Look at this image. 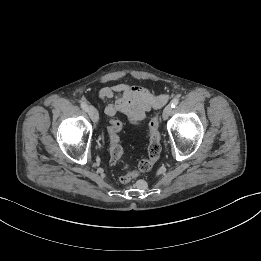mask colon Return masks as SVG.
<instances>
[{"mask_svg":"<svg viewBox=\"0 0 261 261\" xmlns=\"http://www.w3.org/2000/svg\"><path fill=\"white\" fill-rule=\"evenodd\" d=\"M122 125L118 120H112L108 126L110 139V163L121 164L123 173L120 176L122 183H128L137 177L138 172H146L152 169L161 154L160 133L158 117L154 116L149 123V145L148 157L138 162L137 170H132L130 164L125 160L124 149L119 141V133Z\"/></svg>","mask_w":261,"mask_h":261,"instance_id":"colon-1","label":"colon"}]
</instances>
